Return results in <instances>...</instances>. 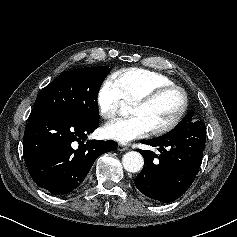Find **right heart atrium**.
<instances>
[{
  "instance_id": "d8ad5b80",
  "label": "right heart atrium",
  "mask_w": 237,
  "mask_h": 237,
  "mask_svg": "<svg viewBox=\"0 0 237 237\" xmlns=\"http://www.w3.org/2000/svg\"><path fill=\"white\" fill-rule=\"evenodd\" d=\"M124 102L121 89L114 79L103 80L96 94V105L100 116L105 120L114 118Z\"/></svg>"
}]
</instances>
